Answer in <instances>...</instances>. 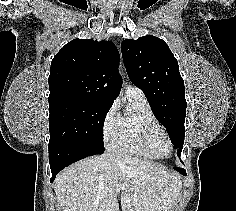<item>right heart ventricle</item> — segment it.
Wrapping results in <instances>:
<instances>
[{
  "label": "right heart ventricle",
  "mask_w": 236,
  "mask_h": 211,
  "mask_svg": "<svg viewBox=\"0 0 236 211\" xmlns=\"http://www.w3.org/2000/svg\"><path fill=\"white\" fill-rule=\"evenodd\" d=\"M125 110L118 114L115 134L109 143L114 152L154 159L137 144L138 134L149 125L159 124L145 97H127Z\"/></svg>",
  "instance_id": "right-heart-ventricle-1"
}]
</instances>
